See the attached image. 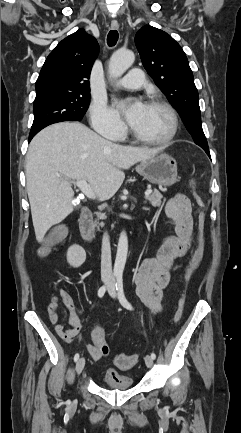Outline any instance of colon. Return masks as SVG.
Wrapping results in <instances>:
<instances>
[{
	"mask_svg": "<svg viewBox=\"0 0 241 433\" xmlns=\"http://www.w3.org/2000/svg\"><path fill=\"white\" fill-rule=\"evenodd\" d=\"M199 203L200 205H203V202L201 200L199 201ZM198 229H199L198 244L196 250L194 251V254L192 255L189 264L185 269L184 287L191 279L195 271L199 268L205 252V238H204L205 216L202 212L198 216ZM60 237L61 235H55L52 238H50V240L47 243V246L49 247L57 243ZM181 313H182V303L176 312L175 315L176 321L179 320ZM98 349L102 357H106L109 354V346L106 343V341L101 342L98 345ZM137 360H138V355L136 354L134 355L119 354L115 358V364L121 370H129L136 364Z\"/></svg>",
	"mask_w": 241,
	"mask_h": 433,
	"instance_id": "5ec220e1",
	"label": "colon"
}]
</instances>
